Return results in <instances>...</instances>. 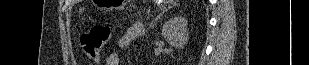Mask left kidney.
I'll return each instance as SVG.
<instances>
[{
  "label": "left kidney",
  "instance_id": "5707ae66",
  "mask_svg": "<svg viewBox=\"0 0 309 65\" xmlns=\"http://www.w3.org/2000/svg\"><path fill=\"white\" fill-rule=\"evenodd\" d=\"M162 37L173 47H182L188 42V21L184 17H173L162 27Z\"/></svg>",
  "mask_w": 309,
  "mask_h": 65
}]
</instances>
